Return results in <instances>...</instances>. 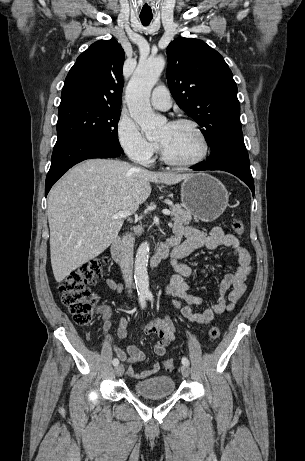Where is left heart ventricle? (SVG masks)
I'll use <instances>...</instances> for the list:
<instances>
[{
	"label": "left heart ventricle",
	"mask_w": 305,
	"mask_h": 461,
	"mask_svg": "<svg viewBox=\"0 0 305 461\" xmlns=\"http://www.w3.org/2000/svg\"><path fill=\"white\" fill-rule=\"evenodd\" d=\"M167 154L178 161H190L199 156L202 145L197 133L188 125L166 124L158 139Z\"/></svg>",
	"instance_id": "obj_1"
}]
</instances>
